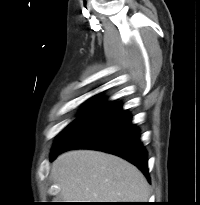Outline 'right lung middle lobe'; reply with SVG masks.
<instances>
[{
	"instance_id": "obj_1",
	"label": "right lung middle lobe",
	"mask_w": 200,
	"mask_h": 205,
	"mask_svg": "<svg viewBox=\"0 0 200 205\" xmlns=\"http://www.w3.org/2000/svg\"><path fill=\"white\" fill-rule=\"evenodd\" d=\"M113 105L112 103L96 105L94 101L88 104L86 107L88 111L73 121L60 133L53 146L52 152L67 144L78 133L109 111Z\"/></svg>"
}]
</instances>
